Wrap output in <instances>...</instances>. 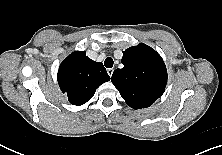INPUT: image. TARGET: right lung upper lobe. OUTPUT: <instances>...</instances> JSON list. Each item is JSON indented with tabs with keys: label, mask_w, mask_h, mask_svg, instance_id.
Returning a JSON list of instances; mask_svg holds the SVG:
<instances>
[{
	"label": "right lung upper lobe",
	"mask_w": 222,
	"mask_h": 155,
	"mask_svg": "<svg viewBox=\"0 0 222 155\" xmlns=\"http://www.w3.org/2000/svg\"><path fill=\"white\" fill-rule=\"evenodd\" d=\"M57 79L69 102L80 106L89 101L110 77L102 63L88 58L85 51H75L61 63Z\"/></svg>",
	"instance_id": "right-lung-upper-lobe-1"
}]
</instances>
